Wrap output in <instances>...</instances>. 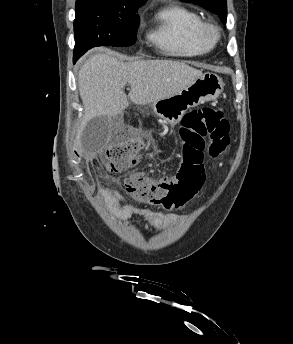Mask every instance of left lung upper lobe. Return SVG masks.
<instances>
[{
  "label": "left lung upper lobe",
  "instance_id": "1",
  "mask_svg": "<svg viewBox=\"0 0 293 344\" xmlns=\"http://www.w3.org/2000/svg\"><path fill=\"white\" fill-rule=\"evenodd\" d=\"M188 3L199 5L208 11L217 14L221 21L225 24L227 19V3L226 0H183Z\"/></svg>",
  "mask_w": 293,
  "mask_h": 344
}]
</instances>
